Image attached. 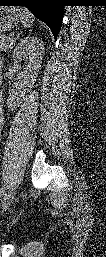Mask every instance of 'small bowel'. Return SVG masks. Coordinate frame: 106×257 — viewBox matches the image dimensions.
<instances>
[{
  "instance_id": "1",
  "label": "small bowel",
  "mask_w": 106,
  "mask_h": 257,
  "mask_svg": "<svg viewBox=\"0 0 106 257\" xmlns=\"http://www.w3.org/2000/svg\"><path fill=\"white\" fill-rule=\"evenodd\" d=\"M2 106V105H1ZM1 127L3 125L2 107H1V117H0Z\"/></svg>"
}]
</instances>
